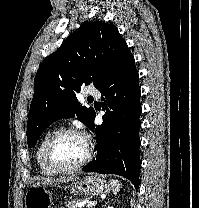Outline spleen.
Instances as JSON below:
<instances>
[{
    "label": "spleen",
    "mask_w": 199,
    "mask_h": 208,
    "mask_svg": "<svg viewBox=\"0 0 199 208\" xmlns=\"http://www.w3.org/2000/svg\"><path fill=\"white\" fill-rule=\"evenodd\" d=\"M110 185L114 194L119 192L120 188L122 187V184L118 180L114 179L110 180Z\"/></svg>",
    "instance_id": "1"
}]
</instances>
